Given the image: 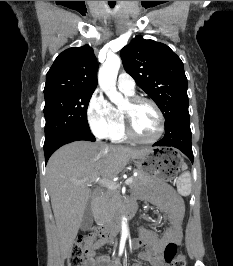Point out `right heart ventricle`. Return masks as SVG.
<instances>
[{
    "instance_id": "e07e8e85",
    "label": "right heart ventricle",
    "mask_w": 233,
    "mask_h": 266,
    "mask_svg": "<svg viewBox=\"0 0 233 266\" xmlns=\"http://www.w3.org/2000/svg\"><path fill=\"white\" fill-rule=\"evenodd\" d=\"M125 94L126 95H132V94H128V93H125ZM114 110H115V113H116L118 120L120 122V129L113 137H111V139L115 142H122V141H125L127 139L125 126H124V120H123V116L121 113V109L114 107Z\"/></svg>"
}]
</instances>
